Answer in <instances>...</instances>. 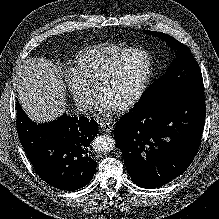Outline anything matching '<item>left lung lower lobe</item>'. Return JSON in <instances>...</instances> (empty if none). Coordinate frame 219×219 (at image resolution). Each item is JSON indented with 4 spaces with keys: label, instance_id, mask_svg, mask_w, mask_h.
<instances>
[{
    "label": "left lung lower lobe",
    "instance_id": "obj_1",
    "mask_svg": "<svg viewBox=\"0 0 219 219\" xmlns=\"http://www.w3.org/2000/svg\"><path fill=\"white\" fill-rule=\"evenodd\" d=\"M205 114L204 93L197 92L123 116L114 138L132 181L150 189L183 174L198 152Z\"/></svg>",
    "mask_w": 219,
    "mask_h": 219
}]
</instances>
